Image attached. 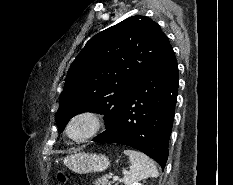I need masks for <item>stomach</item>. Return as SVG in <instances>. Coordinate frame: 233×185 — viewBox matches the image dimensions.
<instances>
[{
    "label": "stomach",
    "instance_id": "obj_1",
    "mask_svg": "<svg viewBox=\"0 0 233 185\" xmlns=\"http://www.w3.org/2000/svg\"><path fill=\"white\" fill-rule=\"evenodd\" d=\"M64 164L75 173L86 174L106 170L110 161L102 154L78 152L64 158Z\"/></svg>",
    "mask_w": 233,
    "mask_h": 185
}]
</instances>
